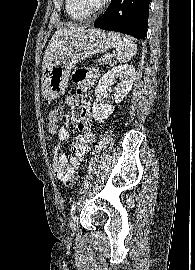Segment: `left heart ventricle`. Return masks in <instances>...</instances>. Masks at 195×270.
Returning a JSON list of instances; mask_svg holds the SVG:
<instances>
[{
    "instance_id": "b2bd125f",
    "label": "left heart ventricle",
    "mask_w": 195,
    "mask_h": 270,
    "mask_svg": "<svg viewBox=\"0 0 195 270\" xmlns=\"http://www.w3.org/2000/svg\"><path fill=\"white\" fill-rule=\"evenodd\" d=\"M81 5L86 9H91L97 6L101 0H79Z\"/></svg>"
}]
</instances>
